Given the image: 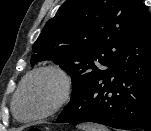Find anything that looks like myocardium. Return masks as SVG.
<instances>
[{"mask_svg": "<svg viewBox=\"0 0 151 131\" xmlns=\"http://www.w3.org/2000/svg\"><path fill=\"white\" fill-rule=\"evenodd\" d=\"M40 76L54 77L58 81L60 86L59 95L49 108L36 115L24 117V119L39 120V119L47 118L58 112L62 107H64L69 102L73 92V82L68 72L57 65L41 66L29 72L23 78L17 92L14 95L12 107H13V112L17 117L22 118V116L19 114L18 111V103L22 93L24 92L25 88L32 80Z\"/></svg>", "mask_w": 151, "mask_h": 131, "instance_id": "myocardium-1", "label": "myocardium"}]
</instances>
